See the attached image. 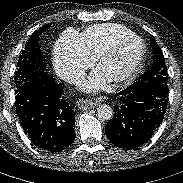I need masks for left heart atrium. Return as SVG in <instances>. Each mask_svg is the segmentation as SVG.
Here are the masks:
<instances>
[{"label":"left heart atrium","instance_id":"1","mask_svg":"<svg viewBox=\"0 0 183 183\" xmlns=\"http://www.w3.org/2000/svg\"><path fill=\"white\" fill-rule=\"evenodd\" d=\"M106 82V77L100 71H96L84 83L83 90L87 92H96L103 88Z\"/></svg>","mask_w":183,"mask_h":183}]
</instances>
